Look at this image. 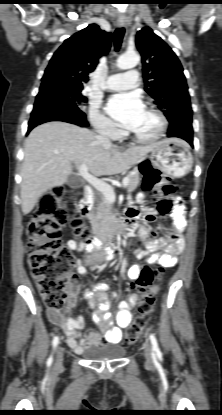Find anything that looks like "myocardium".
Wrapping results in <instances>:
<instances>
[{
    "mask_svg": "<svg viewBox=\"0 0 222 415\" xmlns=\"http://www.w3.org/2000/svg\"><path fill=\"white\" fill-rule=\"evenodd\" d=\"M145 108L147 110H149L150 112H152L154 115H156V117L159 120V129L158 131L151 137H142L140 135H137L135 133H133L130 129L127 130V135L132 138L135 142L137 143H141V144H150V143H154L156 141H158L159 139L162 138V136L164 135L167 126H168V121L166 116L164 115V113L159 110L158 108H156L153 105H146Z\"/></svg>",
    "mask_w": 222,
    "mask_h": 415,
    "instance_id": "obj_1",
    "label": "myocardium"
}]
</instances>
